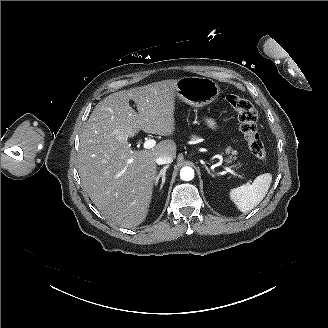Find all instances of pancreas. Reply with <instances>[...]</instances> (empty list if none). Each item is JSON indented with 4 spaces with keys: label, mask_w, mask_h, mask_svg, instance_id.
Here are the masks:
<instances>
[{
    "label": "pancreas",
    "mask_w": 328,
    "mask_h": 328,
    "mask_svg": "<svg viewBox=\"0 0 328 328\" xmlns=\"http://www.w3.org/2000/svg\"><path fill=\"white\" fill-rule=\"evenodd\" d=\"M225 152H226V154H230V153H232V154H236V152L233 151L232 148H231L230 146L226 148ZM236 159H237V157H235V156H234V157L230 156V159L226 160V162L231 163L232 160H236Z\"/></svg>",
    "instance_id": "obj_1"
}]
</instances>
